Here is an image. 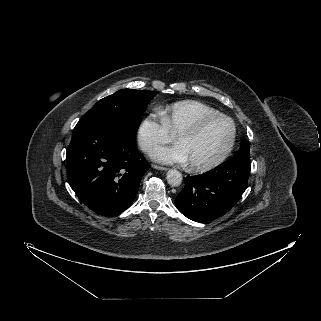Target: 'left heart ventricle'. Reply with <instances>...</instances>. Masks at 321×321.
I'll return each instance as SVG.
<instances>
[{
	"label": "left heart ventricle",
	"mask_w": 321,
	"mask_h": 321,
	"mask_svg": "<svg viewBox=\"0 0 321 321\" xmlns=\"http://www.w3.org/2000/svg\"><path fill=\"white\" fill-rule=\"evenodd\" d=\"M230 135V124L226 120L216 119L195 134L176 135V140L186 147L190 163H208L223 152Z\"/></svg>",
	"instance_id": "1"
}]
</instances>
